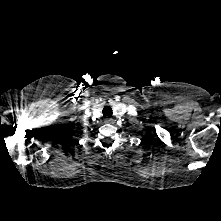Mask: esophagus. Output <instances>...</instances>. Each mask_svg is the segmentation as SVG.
<instances>
[{"label": "esophagus", "mask_w": 221, "mask_h": 221, "mask_svg": "<svg viewBox=\"0 0 221 221\" xmlns=\"http://www.w3.org/2000/svg\"><path fill=\"white\" fill-rule=\"evenodd\" d=\"M104 122L107 124V123H112V119H110V118H106L105 120H104Z\"/></svg>", "instance_id": "1"}]
</instances>
